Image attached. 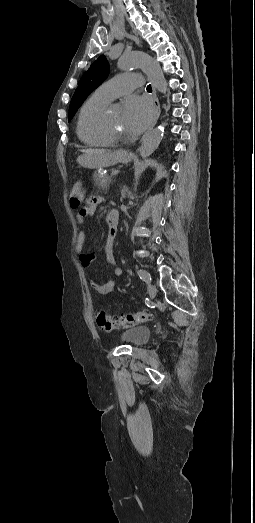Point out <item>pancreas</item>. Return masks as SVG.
Wrapping results in <instances>:
<instances>
[{
	"mask_svg": "<svg viewBox=\"0 0 255 523\" xmlns=\"http://www.w3.org/2000/svg\"><path fill=\"white\" fill-rule=\"evenodd\" d=\"M94 178L95 184H97V186H100V188H107L108 184H110L111 182V176H107V174L103 176V174H97V172H95Z\"/></svg>",
	"mask_w": 255,
	"mask_h": 523,
	"instance_id": "1",
	"label": "pancreas"
}]
</instances>
